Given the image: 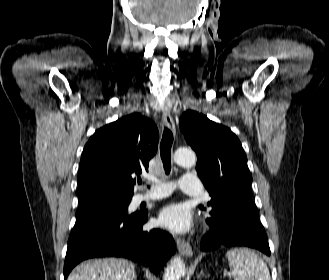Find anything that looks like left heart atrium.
I'll return each instance as SVG.
<instances>
[{
    "mask_svg": "<svg viewBox=\"0 0 329 280\" xmlns=\"http://www.w3.org/2000/svg\"><path fill=\"white\" fill-rule=\"evenodd\" d=\"M158 222L161 226L178 233L187 232L191 226L189 213L178 204L165 207L159 214Z\"/></svg>",
    "mask_w": 329,
    "mask_h": 280,
    "instance_id": "39dd6f15",
    "label": "left heart atrium"
}]
</instances>
